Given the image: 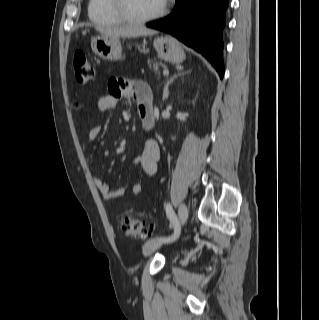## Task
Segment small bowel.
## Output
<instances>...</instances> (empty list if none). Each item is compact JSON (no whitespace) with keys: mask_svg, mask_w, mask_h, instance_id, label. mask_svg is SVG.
<instances>
[{"mask_svg":"<svg viewBox=\"0 0 319 320\" xmlns=\"http://www.w3.org/2000/svg\"><path fill=\"white\" fill-rule=\"evenodd\" d=\"M129 97L136 101L138 112L145 108H153L151 92L145 82L112 78L108 84V93L100 97L97 101V109L99 112L112 110L117 106L119 100ZM100 132V126L90 128L86 134L85 145L93 142L99 136ZM159 159V145L155 140L149 139L145 141L142 152L135 157L133 163L138 166L143 173L154 175L157 171ZM94 182L106 201L119 198L128 190H130L133 196H138L142 191V186L139 181L117 189H111L109 184L100 177H95Z\"/></svg>","mask_w":319,"mask_h":320,"instance_id":"c3829d8e","label":"small bowel"}]
</instances>
